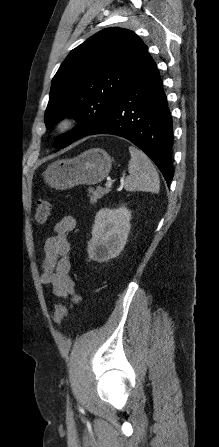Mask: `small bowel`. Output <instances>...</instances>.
<instances>
[{
  "label": "small bowel",
  "instance_id": "c3829d8e",
  "mask_svg": "<svg viewBox=\"0 0 219 447\" xmlns=\"http://www.w3.org/2000/svg\"><path fill=\"white\" fill-rule=\"evenodd\" d=\"M76 220L71 214H65L54 225V235L44 246L42 257L41 282L50 287L53 293L61 298H71L79 302L75 293V282L70 275L71 261L69 257V234L75 229Z\"/></svg>",
  "mask_w": 219,
  "mask_h": 447
}]
</instances>
